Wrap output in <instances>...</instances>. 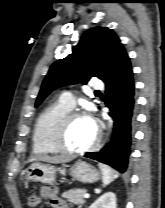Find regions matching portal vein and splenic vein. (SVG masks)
Here are the masks:
<instances>
[{
	"label": "portal vein and splenic vein",
	"mask_w": 165,
	"mask_h": 208,
	"mask_svg": "<svg viewBox=\"0 0 165 208\" xmlns=\"http://www.w3.org/2000/svg\"><path fill=\"white\" fill-rule=\"evenodd\" d=\"M89 197H90V195L88 193L84 194V198H89Z\"/></svg>",
	"instance_id": "1"
}]
</instances>
